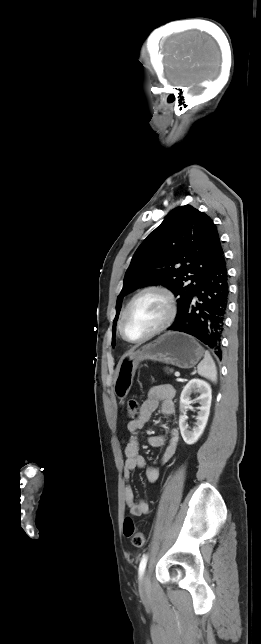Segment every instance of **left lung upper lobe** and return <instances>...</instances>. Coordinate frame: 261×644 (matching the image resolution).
Returning <instances> with one entry per match:
<instances>
[{"label":"left lung upper lobe","instance_id":"left-lung-upper-lobe-1","mask_svg":"<svg viewBox=\"0 0 261 644\" xmlns=\"http://www.w3.org/2000/svg\"><path fill=\"white\" fill-rule=\"evenodd\" d=\"M222 254L219 234L210 217L189 205L172 210L135 252L117 297V314L126 294L142 286L162 284L179 296L178 318Z\"/></svg>","mask_w":261,"mask_h":644}]
</instances>
